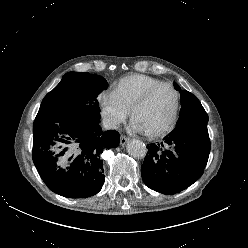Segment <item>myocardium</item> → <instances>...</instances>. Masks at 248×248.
Segmentation results:
<instances>
[{
  "label": "myocardium",
  "instance_id": "myocardium-1",
  "mask_svg": "<svg viewBox=\"0 0 248 248\" xmlns=\"http://www.w3.org/2000/svg\"><path fill=\"white\" fill-rule=\"evenodd\" d=\"M162 87H169L172 89L174 96H175V103H174V108L172 115L169 119V121L160 129L154 131V132H148L146 133L147 136L151 138H157L160 137L167 132H169L173 126L176 123L177 117H178V112H179V107H180V95L177 89L171 84L167 82H161L151 88H149L142 96L141 98L134 104L130 111V116L131 120H134L135 115L137 114L138 111H140L150 100L151 96L160 88Z\"/></svg>",
  "mask_w": 248,
  "mask_h": 248
}]
</instances>
